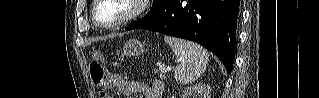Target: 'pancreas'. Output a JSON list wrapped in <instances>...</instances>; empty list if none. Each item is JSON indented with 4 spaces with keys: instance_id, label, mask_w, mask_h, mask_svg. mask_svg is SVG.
<instances>
[{
    "instance_id": "pancreas-1",
    "label": "pancreas",
    "mask_w": 319,
    "mask_h": 98,
    "mask_svg": "<svg viewBox=\"0 0 319 98\" xmlns=\"http://www.w3.org/2000/svg\"><path fill=\"white\" fill-rule=\"evenodd\" d=\"M156 72V69L154 70ZM160 71V78H165L166 71H162L161 68H159Z\"/></svg>"
}]
</instances>
